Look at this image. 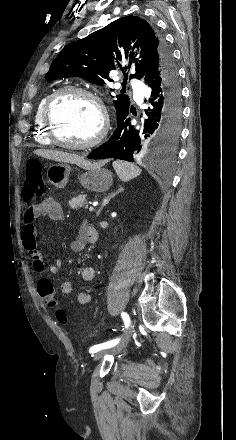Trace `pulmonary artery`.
<instances>
[{
	"label": "pulmonary artery",
	"mask_w": 236,
	"mask_h": 440,
	"mask_svg": "<svg viewBox=\"0 0 236 440\" xmlns=\"http://www.w3.org/2000/svg\"><path fill=\"white\" fill-rule=\"evenodd\" d=\"M130 83L133 86L134 92L137 94V99L140 100L141 94L144 92L145 88L143 83L140 80H131Z\"/></svg>",
	"instance_id": "obj_1"
}]
</instances>
